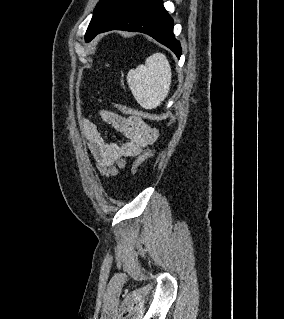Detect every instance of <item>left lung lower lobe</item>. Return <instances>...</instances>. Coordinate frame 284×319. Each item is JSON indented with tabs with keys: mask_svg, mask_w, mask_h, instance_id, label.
<instances>
[{
	"mask_svg": "<svg viewBox=\"0 0 284 319\" xmlns=\"http://www.w3.org/2000/svg\"><path fill=\"white\" fill-rule=\"evenodd\" d=\"M110 30L148 34L171 49L178 58L181 56L180 43L173 34V19L165 10L162 0H124L99 33Z\"/></svg>",
	"mask_w": 284,
	"mask_h": 319,
	"instance_id": "obj_1",
	"label": "left lung lower lobe"
}]
</instances>
